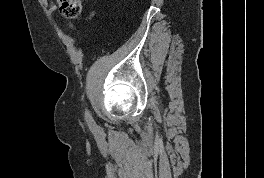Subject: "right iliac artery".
I'll use <instances>...</instances> for the list:
<instances>
[{"mask_svg": "<svg viewBox=\"0 0 264 178\" xmlns=\"http://www.w3.org/2000/svg\"><path fill=\"white\" fill-rule=\"evenodd\" d=\"M85 119L90 127H94V121L88 110L85 111Z\"/></svg>", "mask_w": 264, "mask_h": 178, "instance_id": "right-iliac-artery-1", "label": "right iliac artery"}]
</instances>
